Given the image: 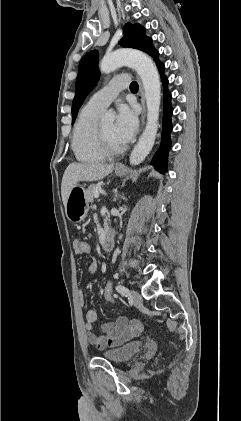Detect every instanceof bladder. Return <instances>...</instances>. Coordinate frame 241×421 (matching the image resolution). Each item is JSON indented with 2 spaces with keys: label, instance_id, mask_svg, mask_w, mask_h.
<instances>
[{
  "label": "bladder",
  "instance_id": "bladder-1",
  "mask_svg": "<svg viewBox=\"0 0 241 421\" xmlns=\"http://www.w3.org/2000/svg\"><path fill=\"white\" fill-rule=\"evenodd\" d=\"M144 348L142 341H132L120 347L108 350L103 357L113 363L127 362L136 356Z\"/></svg>",
  "mask_w": 241,
  "mask_h": 421
}]
</instances>
